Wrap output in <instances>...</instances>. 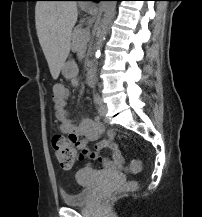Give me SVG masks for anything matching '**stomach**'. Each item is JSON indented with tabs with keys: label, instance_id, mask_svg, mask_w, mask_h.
Here are the masks:
<instances>
[{
	"label": "stomach",
	"instance_id": "stomach-1",
	"mask_svg": "<svg viewBox=\"0 0 202 217\" xmlns=\"http://www.w3.org/2000/svg\"><path fill=\"white\" fill-rule=\"evenodd\" d=\"M78 73V67L74 61H67L62 68V75L65 78H73Z\"/></svg>",
	"mask_w": 202,
	"mask_h": 217
}]
</instances>
